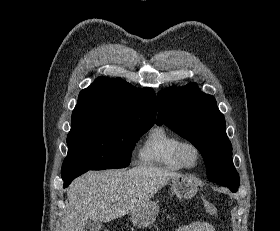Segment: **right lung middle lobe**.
Here are the masks:
<instances>
[{"label":"right lung middle lobe","instance_id":"1","mask_svg":"<svg viewBox=\"0 0 280 231\" xmlns=\"http://www.w3.org/2000/svg\"><path fill=\"white\" fill-rule=\"evenodd\" d=\"M152 126L112 118L72 119L62 169L125 168L136 142Z\"/></svg>","mask_w":280,"mask_h":231}]
</instances>
